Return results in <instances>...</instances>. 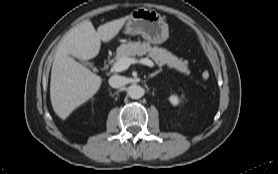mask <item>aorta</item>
I'll use <instances>...</instances> for the list:
<instances>
[{"label":"aorta","instance_id":"762f6f07","mask_svg":"<svg viewBox=\"0 0 278 174\" xmlns=\"http://www.w3.org/2000/svg\"><path fill=\"white\" fill-rule=\"evenodd\" d=\"M127 93L132 99H139L143 96L144 90L141 86L132 84L128 87Z\"/></svg>","mask_w":278,"mask_h":174}]
</instances>
